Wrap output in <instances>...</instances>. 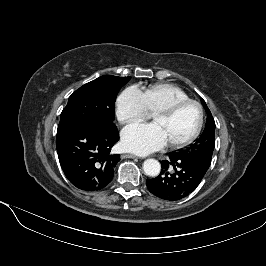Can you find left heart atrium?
<instances>
[{
  "label": "left heart atrium",
  "mask_w": 266,
  "mask_h": 266,
  "mask_svg": "<svg viewBox=\"0 0 266 266\" xmlns=\"http://www.w3.org/2000/svg\"><path fill=\"white\" fill-rule=\"evenodd\" d=\"M122 144L128 151L147 154L162 148L167 141L156 124H133L122 131Z\"/></svg>",
  "instance_id": "1"
}]
</instances>
